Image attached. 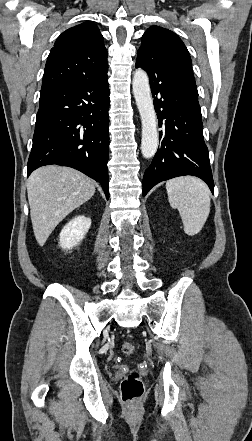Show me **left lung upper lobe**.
Masks as SVG:
<instances>
[{"label": "left lung upper lobe", "instance_id": "5c2ea615", "mask_svg": "<svg viewBox=\"0 0 252 441\" xmlns=\"http://www.w3.org/2000/svg\"><path fill=\"white\" fill-rule=\"evenodd\" d=\"M174 57L192 67L189 52L181 39L168 29L151 26L142 36V44L137 52V61H152L156 57Z\"/></svg>", "mask_w": 252, "mask_h": 441}]
</instances>
